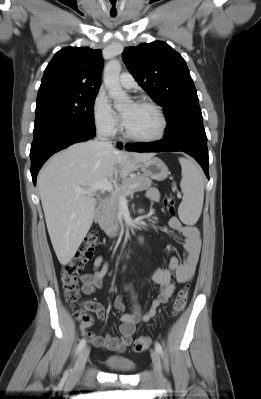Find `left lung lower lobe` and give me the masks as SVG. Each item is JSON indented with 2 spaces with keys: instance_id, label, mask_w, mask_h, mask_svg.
Segmentation results:
<instances>
[{
  "instance_id": "1",
  "label": "left lung lower lobe",
  "mask_w": 261,
  "mask_h": 399,
  "mask_svg": "<svg viewBox=\"0 0 261 399\" xmlns=\"http://www.w3.org/2000/svg\"><path fill=\"white\" fill-rule=\"evenodd\" d=\"M125 148L128 151L136 152H185L195 158L203 168L207 178H209L207 136L203 125L190 127L178 135L164 137V139L159 141L127 144L125 145Z\"/></svg>"
}]
</instances>
